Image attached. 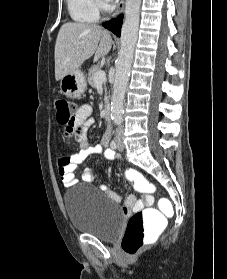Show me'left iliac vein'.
I'll return each mask as SVG.
<instances>
[{
	"instance_id": "1",
	"label": "left iliac vein",
	"mask_w": 227,
	"mask_h": 279,
	"mask_svg": "<svg viewBox=\"0 0 227 279\" xmlns=\"http://www.w3.org/2000/svg\"><path fill=\"white\" fill-rule=\"evenodd\" d=\"M118 150L123 151L124 150V144L122 142V138H119L118 140Z\"/></svg>"
}]
</instances>
